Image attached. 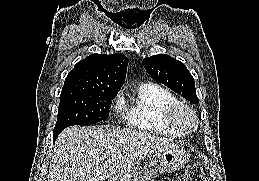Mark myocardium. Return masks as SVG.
<instances>
[{"label":"myocardium","mask_w":259,"mask_h":181,"mask_svg":"<svg viewBox=\"0 0 259 181\" xmlns=\"http://www.w3.org/2000/svg\"><path fill=\"white\" fill-rule=\"evenodd\" d=\"M168 121L185 133L195 131L198 126V118L195 112L188 105L181 102L170 108Z\"/></svg>","instance_id":"myocardium-1"}]
</instances>
